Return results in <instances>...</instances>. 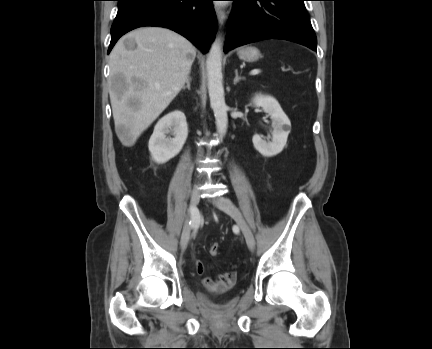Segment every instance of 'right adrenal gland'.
<instances>
[{
  "label": "right adrenal gland",
  "instance_id": "obj_1",
  "mask_svg": "<svg viewBox=\"0 0 432 349\" xmlns=\"http://www.w3.org/2000/svg\"><path fill=\"white\" fill-rule=\"evenodd\" d=\"M190 81H191V78H190V76H188V78L186 79V85H184V86L182 87L183 90H185L186 88H187L188 90H190Z\"/></svg>",
  "mask_w": 432,
  "mask_h": 349
}]
</instances>
